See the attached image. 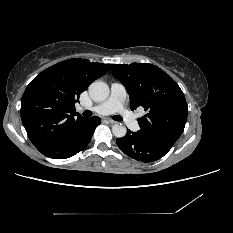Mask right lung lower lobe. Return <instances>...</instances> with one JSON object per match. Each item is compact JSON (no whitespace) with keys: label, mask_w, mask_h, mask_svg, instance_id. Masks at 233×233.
I'll return each mask as SVG.
<instances>
[{"label":"right lung lower lobe","mask_w":233,"mask_h":233,"mask_svg":"<svg viewBox=\"0 0 233 233\" xmlns=\"http://www.w3.org/2000/svg\"><path fill=\"white\" fill-rule=\"evenodd\" d=\"M99 117L84 118L66 131L55 142L39 149L53 159H66L82 151L90 142L95 128L100 124Z\"/></svg>","instance_id":"obj_1"}]
</instances>
